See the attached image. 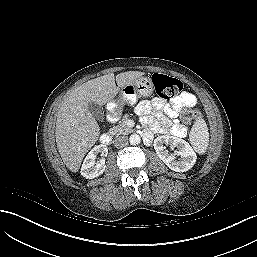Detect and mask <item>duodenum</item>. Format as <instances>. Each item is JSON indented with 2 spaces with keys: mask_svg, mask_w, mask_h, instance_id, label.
Listing matches in <instances>:
<instances>
[{
  "mask_svg": "<svg viewBox=\"0 0 257 257\" xmlns=\"http://www.w3.org/2000/svg\"><path fill=\"white\" fill-rule=\"evenodd\" d=\"M109 119H110V121H115L116 115L112 113V114L109 116ZM141 135H142L144 138H147V137H148L145 130H142V131H141ZM111 140H112V138H111V136H110L108 133H104V134H102L101 137H100V142H101V144H103V145H109V144L111 143Z\"/></svg>",
  "mask_w": 257,
  "mask_h": 257,
  "instance_id": "obj_1",
  "label": "duodenum"
}]
</instances>
